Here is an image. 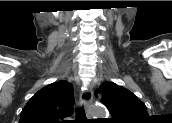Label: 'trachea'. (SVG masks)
I'll return each instance as SVG.
<instances>
[{
    "mask_svg": "<svg viewBox=\"0 0 172 123\" xmlns=\"http://www.w3.org/2000/svg\"><path fill=\"white\" fill-rule=\"evenodd\" d=\"M85 116L84 109H79L76 111V120L82 119Z\"/></svg>",
    "mask_w": 172,
    "mask_h": 123,
    "instance_id": "3493384b",
    "label": "trachea"
}]
</instances>
